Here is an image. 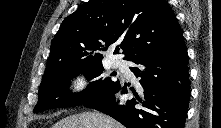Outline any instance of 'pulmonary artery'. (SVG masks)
<instances>
[{
    "label": "pulmonary artery",
    "instance_id": "pulmonary-artery-1",
    "mask_svg": "<svg viewBox=\"0 0 221 128\" xmlns=\"http://www.w3.org/2000/svg\"><path fill=\"white\" fill-rule=\"evenodd\" d=\"M116 65H117V67H119V68H123V67H124V66H123V63H122L121 61H117Z\"/></svg>",
    "mask_w": 221,
    "mask_h": 128
}]
</instances>
